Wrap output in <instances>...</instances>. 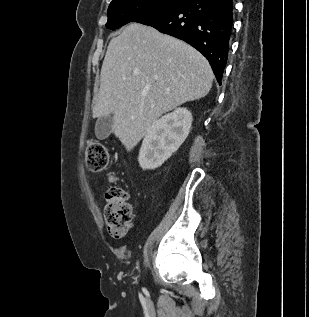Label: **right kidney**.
I'll list each match as a JSON object with an SVG mask.
<instances>
[{
    "label": "right kidney",
    "instance_id": "obj_1",
    "mask_svg": "<svg viewBox=\"0 0 309 317\" xmlns=\"http://www.w3.org/2000/svg\"><path fill=\"white\" fill-rule=\"evenodd\" d=\"M192 121V114L187 108H177L156 120L143 139L138 156L140 167L143 170L160 167L185 141Z\"/></svg>",
    "mask_w": 309,
    "mask_h": 317
}]
</instances>
